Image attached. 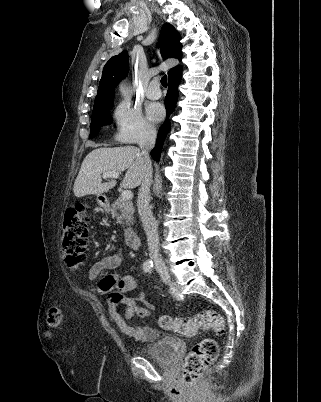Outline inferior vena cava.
I'll return each instance as SVG.
<instances>
[{"mask_svg": "<svg viewBox=\"0 0 321 402\" xmlns=\"http://www.w3.org/2000/svg\"><path fill=\"white\" fill-rule=\"evenodd\" d=\"M156 136V130L148 127L144 130L139 141V147L145 162V175L138 192L137 208L147 236L150 258L153 260L155 267L160 269L164 266V263L159 255L157 222L149 206L150 186L152 183V162L150 160L149 152L155 146Z\"/></svg>", "mask_w": 321, "mask_h": 402, "instance_id": "602c4592", "label": "inferior vena cava"}]
</instances>
